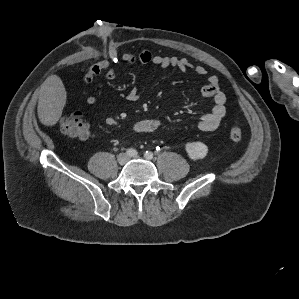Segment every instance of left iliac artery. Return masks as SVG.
Segmentation results:
<instances>
[{"instance_id": "obj_1", "label": "left iliac artery", "mask_w": 299, "mask_h": 299, "mask_svg": "<svg viewBox=\"0 0 299 299\" xmlns=\"http://www.w3.org/2000/svg\"><path fill=\"white\" fill-rule=\"evenodd\" d=\"M144 157L148 160H151L153 158V153L150 151H146Z\"/></svg>"}]
</instances>
